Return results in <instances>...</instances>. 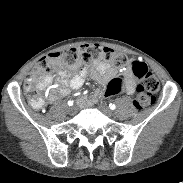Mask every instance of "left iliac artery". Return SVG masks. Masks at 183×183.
<instances>
[{
	"label": "left iliac artery",
	"instance_id": "44dca946",
	"mask_svg": "<svg viewBox=\"0 0 183 183\" xmlns=\"http://www.w3.org/2000/svg\"><path fill=\"white\" fill-rule=\"evenodd\" d=\"M110 109L114 110L116 108L115 104H110L109 105Z\"/></svg>",
	"mask_w": 183,
	"mask_h": 183
}]
</instances>
